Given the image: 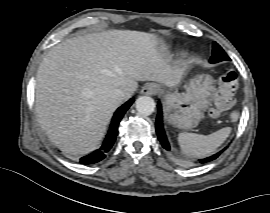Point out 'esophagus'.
Listing matches in <instances>:
<instances>
[{
  "instance_id": "1",
  "label": "esophagus",
  "mask_w": 270,
  "mask_h": 213,
  "mask_svg": "<svg viewBox=\"0 0 270 213\" xmlns=\"http://www.w3.org/2000/svg\"><path fill=\"white\" fill-rule=\"evenodd\" d=\"M159 91V86L154 83H147L141 90V94L143 95H155Z\"/></svg>"
}]
</instances>
